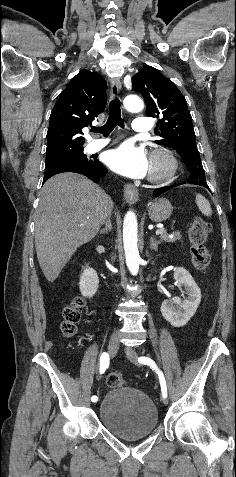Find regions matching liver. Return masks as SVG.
Listing matches in <instances>:
<instances>
[{"label":"liver","instance_id":"obj_1","mask_svg":"<svg viewBox=\"0 0 236 477\" xmlns=\"http://www.w3.org/2000/svg\"><path fill=\"white\" fill-rule=\"evenodd\" d=\"M112 209L109 195L82 175L61 173L45 182L36 212L35 247L49 282L97 235Z\"/></svg>","mask_w":236,"mask_h":477}]
</instances>
